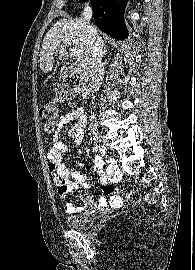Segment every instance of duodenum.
Instances as JSON below:
<instances>
[{
  "label": "duodenum",
  "instance_id": "duodenum-1",
  "mask_svg": "<svg viewBox=\"0 0 195 270\" xmlns=\"http://www.w3.org/2000/svg\"><path fill=\"white\" fill-rule=\"evenodd\" d=\"M74 70H75V73L79 74L82 78V82H83L82 97L87 98L94 89V80L91 75V72L86 65H80Z\"/></svg>",
  "mask_w": 195,
  "mask_h": 270
}]
</instances>
